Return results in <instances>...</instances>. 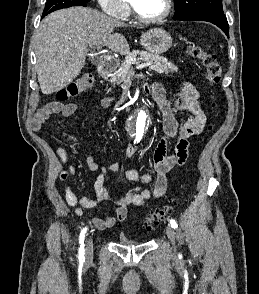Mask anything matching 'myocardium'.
Instances as JSON below:
<instances>
[{"label":"myocardium","mask_w":259,"mask_h":294,"mask_svg":"<svg viewBox=\"0 0 259 294\" xmlns=\"http://www.w3.org/2000/svg\"><path fill=\"white\" fill-rule=\"evenodd\" d=\"M130 6L132 14L138 22L143 24H155L164 21L170 16L173 10V0H165V9L163 13L156 17H144L136 10L132 3H130Z\"/></svg>","instance_id":"f54148a6"}]
</instances>
